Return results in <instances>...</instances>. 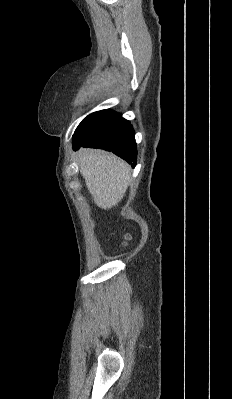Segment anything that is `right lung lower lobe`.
Instances as JSON below:
<instances>
[{
	"mask_svg": "<svg viewBox=\"0 0 232 399\" xmlns=\"http://www.w3.org/2000/svg\"><path fill=\"white\" fill-rule=\"evenodd\" d=\"M81 146L112 151L132 166L136 162L134 130L129 121L112 110H101L88 115L73 135V149Z\"/></svg>",
	"mask_w": 232,
	"mask_h": 399,
	"instance_id": "right-lung-lower-lobe-1",
	"label": "right lung lower lobe"
}]
</instances>
